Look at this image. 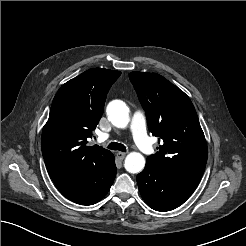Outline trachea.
<instances>
[{
    "label": "trachea",
    "instance_id": "3493384b",
    "mask_svg": "<svg viewBox=\"0 0 246 246\" xmlns=\"http://www.w3.org/2000/svg\"><path fill=\"white\" fill-rule=\"evenodd\" d=\"M108 148L111 150H119V151H123V152L126 151V147L123 144L117 143V142H111L108 145Z\"/></svg>",
    "mask_w": 246,
    "mask_h": 246
}]
</instances>
